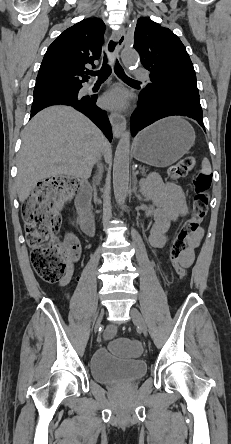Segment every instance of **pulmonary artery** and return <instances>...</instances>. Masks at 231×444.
Listing matches in <instances>:
<instances>
[{
	"instance_id": "1",
	"label": "pulmonary artery",
	"mask_w": 231,
	"mask_h": 444,
	"mask_svg": "<svg viewBox=\"0 0 231 444\" xmlns=\"http://www.w3.org/2000/svg\"><path fill=\"white\" fill-rule=\"evenodd\" d=\"M134 74H135L136 79H138V80H147V79H149L148 73L144 69H142V68H136L134 70Z\"/></svg>"
}]
</instances>
